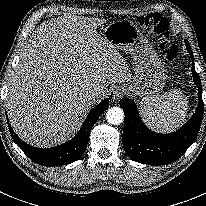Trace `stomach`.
I'll use <instances>...</instances> for the list:
<instances>
[{
	"label": "stomach",
	"instance_id": "0dacf381",
	"mask_svg": "<svg viewBox=\"0 0 206 206\" xmlns=\"http://www.w3.org/2000/svg\"><path fill=\"white\" fill-rule=\"evenodd\" d=\"M103 38L116 50L129 53L135 61L128 92L139 97H151L165 85V68L149 40L131 20L111 22Z\"/></svg>",
	"mask_w": 206,
	"mask_h": 206
}]
</instances>
